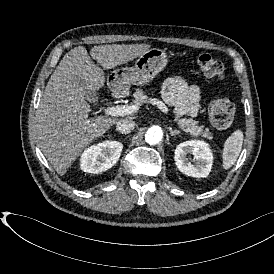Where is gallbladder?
<instances>
[{"instance_id": "gallbladder-1", "label": "gallbladder", "mask_w": 274, "mask_h": 274, "mask_svg": "<svg viewBox=\"0 0 274 274\" xmlns=\"http://www.w3.org/2000/svg\"><path fill=\"white\" fill-rule=\"evenodd\" d=\"M94 94L93 93H89L88 96L89 98L92 97Z\"/></svg>"}]
</instances>
